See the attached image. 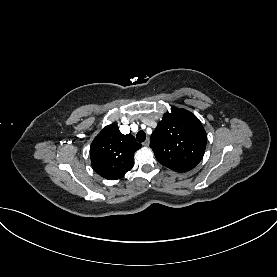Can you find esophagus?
Here are the masks:
<instances>
[{"label": "esophagus", "mask_w": 277, "mask_h": 277, "mask_svg": "<svg viewBox=\"0 0 277 277\" xmlns=\"http://www.w3.org/2000/svg\"><path fill=\"white\" fill-rule=\"evenodd\" d=\"M149 144H150V140H149V139L145 140V141L142 143V145H143L144 147H148Z\"/></svg>", "instance_id": "esophagus-1"}]
</instances>
